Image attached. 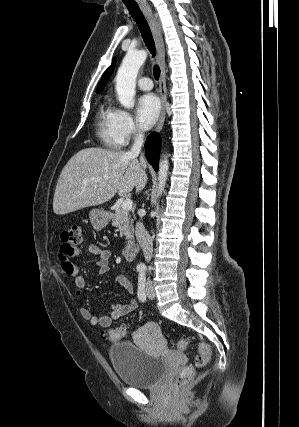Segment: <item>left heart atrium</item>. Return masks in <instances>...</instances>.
I'll use <instances>...</instances> for the list:
<instances>
[{
  "mask_svg": "<svg viewBox=\"0 0 299 427\" xmlns=\"http://www.w3.org/2000/svg\"><path fill=\"white\" fill-rule=\"evenodd\" d=\"M160 102L156 95L145 94L138 99L136 116L141 127L148 129L158 119Z\"/></svg>",
  "mask_w": 299,
  "mask_h": 427,
  "instance_id": "left-heart-atrium-1",
  "label": "left heart atrium"
}]
</instances>
